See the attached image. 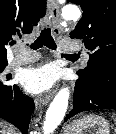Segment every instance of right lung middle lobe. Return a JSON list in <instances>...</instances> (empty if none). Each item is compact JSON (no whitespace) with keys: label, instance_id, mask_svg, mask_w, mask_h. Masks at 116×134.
<instances>
[{"label":"right lung middle lobe","instance_id":"obj_1","mask_svg":"<svg viewBox=\"0 0 116 134\" xmlns=\"http://www.w3.org/2000/svg\"><path fill=\"white\" fill-rule=\"evenodd\" d=\"M8 65L7 62L0 63V99L10 97L14 91L18 88L15 84H9L8 81L11 78L9 75H5L4 70Z\"/></svg>","mask_w":116,"mask_h":134}]
</instances>
